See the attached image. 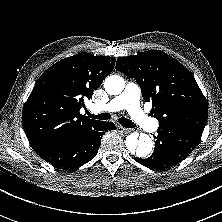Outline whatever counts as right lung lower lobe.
I'll list each match as a JSON object with an SVG mask.
<instances>
[{
	"instance_id": "right-lung-lower-lobe-1",
	"label": "right lung lower lobe",
	"mask_w": 222,
	"mask_h": 222,
	"mask_svg": "<svg viewBox=\"0 0 222 222\" xmlns=\"http://www.w3.org/2000/svg\"><path fill=\"white\" fill-rule=\"evenodd\" d=\"M115 129L112 122L96 121L73 137L53 141L34 150L56 167L78 168L96 156L103 134Z\"/></svg>"
}]
</instances>
